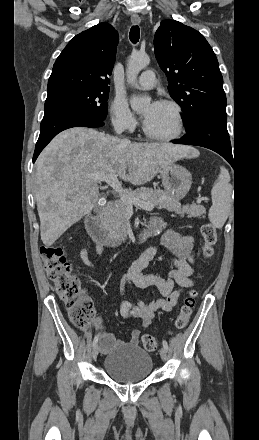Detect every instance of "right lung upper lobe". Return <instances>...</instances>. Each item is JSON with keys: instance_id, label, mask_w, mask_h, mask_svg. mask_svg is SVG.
Returning <instances> with one entry per match:
<instances>
[{"instance_id": "obj_1", "label": "right lung upper lobe", "mask_w": 259, "mask_h": 440, "mask_svg": "<svg viewBox=\"0 0 259 440\" xmlns=\"http://www.w3.org/2000/svg\"><path fill=\"white\" fill-rule=\"evenodd\" d=\"M118 34L100 23L76 35L54 63L48 94L72 88L109 90Z\"/></svg>"}]
</instances>
